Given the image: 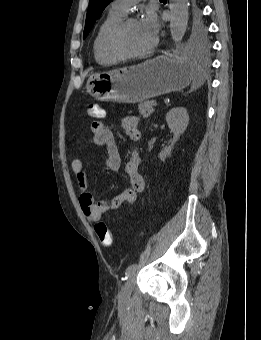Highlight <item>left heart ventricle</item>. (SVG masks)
Returning a JSON list of instances; mask_svg holds the SVG:
<instances>
[{
	"label": "left heart ventricle",
	"mask_w": 261,
	"mask_h": 340,
	"mask_svg": "<svg viewBox=\"0 0 261 340\" xmlns=\"http://www.w3.org/2000/svg\"><path fill=\"white\" fill-rule=\"evenodd\" d=\"M154 37L144 30L140 22L130 24L121 34L119 45L127 52H137L147 48Z\"/></svg>",
	"instance_id": "b2bd125f"
}]
</instances>
